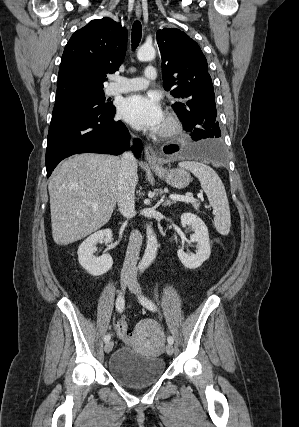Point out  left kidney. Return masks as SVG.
<instances>
[{
	"instance_id": "5707ae66",
	"label": "left kidney",
	"mask_w": 299,
	"mask_h": 427,
	"mask_svg": "<svg viewBox=\"0 0 299 427\" xmlns=\"http://www.w3.org/2000/svg\"><path fill=\"white\" fill-rule=\"evenodd\" d=\"M181 224L183 227H190L194 233L191 235V242L197 243V251L185 253L183 249L177 251L181 263L189 269L200 267L211 254L208 229L201 218L192 213H183L181 215Z\"/></svg>"
}]
</instances>
